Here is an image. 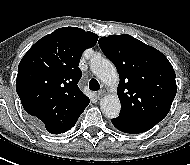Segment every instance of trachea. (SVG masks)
I'll use <instances>...</instances> for the list:
<instances>
[{"label": "trachea", "instance_id": "trachea-1", "mask_svg": "<svg viewBox=\"0 0 190 165\" xmlns=\"http://www.w3.org/2000/svg\"><path fill=\"white\" fill-rule=\"evenodd\" d=\"M99 88H100L99 82L96 79L92 78L89 81V89L92 91H97L99 90Z\"/></svg>", "mask_w": 190, "mask_h": 165}]
</instances>
